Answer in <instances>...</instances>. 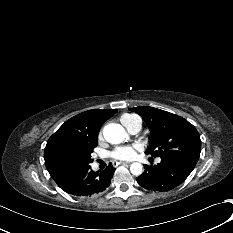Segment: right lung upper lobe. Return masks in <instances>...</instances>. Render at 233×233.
<instances>
[{"instance_id":"1","label":"right lung upper lobe","mask_w":233,"mask_h":233,"mask_svg":"<svg viewBox=\"0 0 233 233\" xmlns=\"http://www.w3.org/2000/svg\"><path fill=\"white\" fill-rule=\"evenodd\" d=\"M116 112L117 109H92L82 112L67 120L49 138L44 150V160L49 174L58 186L64 184L73 174L63 169L62 156L71 150L97 144L102 124Z\"/></svg>"}]
</instances>
